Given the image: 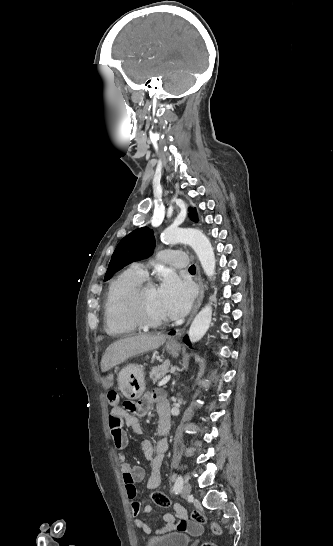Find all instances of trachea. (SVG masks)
<instances>
[{
    "label": "trachea",
    "instance_id": "1",
    "mask_svg": "<svg viewBox=\"0 0 333 546\" xmlns=\"http://www.w3.org/2000/svg\"><path fill=\"white\" fill-rule=\"evenodd\" d=\"M195 271H196L195 265H191L189 267V272H195Z\"/></svg>",
    "mask_w": 333,
    "mask_h": 546
}]
</instances>
